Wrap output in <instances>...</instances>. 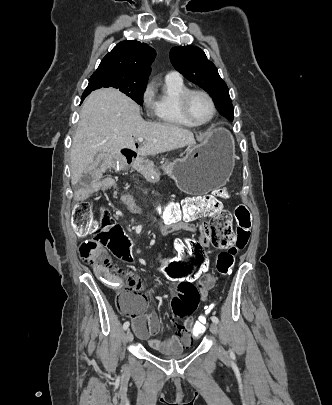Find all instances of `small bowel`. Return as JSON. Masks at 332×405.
Masks as SVG:
<instances>
[{
    "label": "small bowel",
    "instance_id": "c3829d8e",
    "mask_svg": "<svg viewBox=\"0 0 332 405\" xmlns=\"http://www.w3.org/2000/svg\"><path fill=\"white\" fill-rule=\"evenodd\" d=\"M134 167L141 172H146L153 169L154 164L152 161L140 156L135 159ZM100 181H103V172H82V177L79 178L78 182L80 186H99ZM122 200L132 213L142 214L144 212L137 197L125 194L122 196ZM147 217L149 218L150 215L147 214ZM198 217L196 214H190V219L185 222L184 229L193 234H198V228L193 224V221ZM136 260L140 264H146L143 258H137ZM101 275L105 276L103 273ZM118 277L122 289L129 296V298L120 297L118 307L122 313L132 318L133 329L138 337L146 340L150 348L154 350H162L163 353H184L185 347L191 344L189 335L194 322L188 316L197 311L200 301H206L209 291L215 285V277L207 271L204 281L191 282L186 287L179 282L178 295L172 300V311L186 318L183 325H177L174 335L163 340L153 338L154 335L159 333L161 323L155 312H145L146 297L140 293L144 289L141 279L129 273H122Z\"/></svg>",
    "mask_w": 332,
    "mask_h": 405
}]
</instances>
